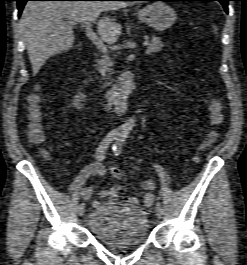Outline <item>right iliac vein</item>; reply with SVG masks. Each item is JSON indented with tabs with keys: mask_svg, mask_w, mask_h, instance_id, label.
I'll return each mask as SVG.
<instances>
[{
	"mask_svg": "<svg viewBox=\"0 0 247 265\" xmlns=\"http://www.w3.org/2000/svg\"><path fill=\"white\" fill-rule=\"evenodd\" d=\"M77 212H78V215H79V216H82V215L84 214V212H85V205H84V203H81V204L78 206V210H77Z\"/></svg>",
	"mask_w": 247,
	"mask_h": 265,
	"instance_id": "63e3f726",
	"label": "right iliac vein"
}]
</instances>
